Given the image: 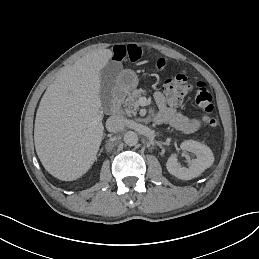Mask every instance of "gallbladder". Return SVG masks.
I'll list each match as a JSON object with an SVG mask.
<instances>
[{"label": "gallbladder", "instance_id": "bac80fb5", "mask_svg": "<svg viewBox=\"0 0 259 259\" xmlns=\"http://www.w3.org/2000/svg\"><path fill=\"white\" fill-rule=\"evenodd\" d=\"M122 65L119 62H109L102 70V87L99 95L102 110L106 113L112 111L113 103V87L116 80L117 73L121 70Z\"/></svg>", "mask_w": 259, "mask_h": 259}]
</instances>
